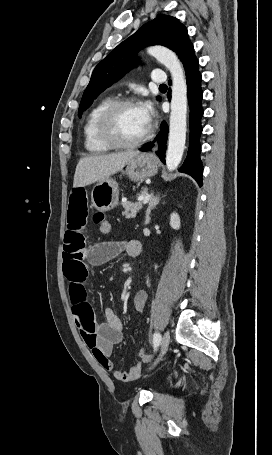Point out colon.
<instances>
[{"label": "colon", "instance_id": "5ec220e1", "mask_svg": "<svg viewBox=\"0 0 272 455\" xmlns=\"http://www.w3.org/2000/svg\"><path fill=\"white\" fill-rule=\"evenodd\" d=\"M93 221L98 225L99 231L102 235H108L110 233L111 224L104 213H95L93 216ZM137 355L144 362H149L151 360L150 354L144 349H140Z\"/></svg>", "mask_w": 272, "mask_h": 455}]
</instances>
